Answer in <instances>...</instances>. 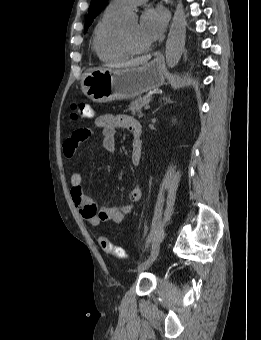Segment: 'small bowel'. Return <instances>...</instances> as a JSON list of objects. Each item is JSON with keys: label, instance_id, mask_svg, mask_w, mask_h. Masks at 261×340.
Returning <instances> with one entry per match:
<instances>
[{"label": "small bowel", "instance_id": "c3829d8e", "mask_svg": "<svg viewBox=\"0 0 261 340\" xmlns=\"http://www.w3.org/2000/svg\"><path fill=\"white\" fill-rule=\"evenodd\" d=\"M95 127L101 130L102 147L110 152H115V135L118 129H127L131 135V162L138 166L142 154L141 125L131 116L103 114L96 118ZM93 135L90 128H79L75 130L64 142L63 152L66 157L71 158L81 142ZM71 196L80 216L92 226H98L101 222L113 221L121 223L132 211L135 204L142 196V188L135 185L128 193V202L124 205L99 207L83 186L82 176L79 172L72 173Z\"/></svg>", "mask_w": 261, "mask_h": 340}]
</instances>
